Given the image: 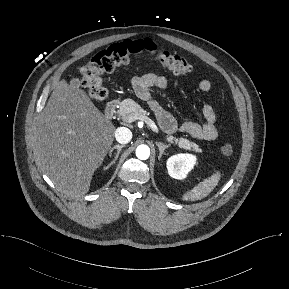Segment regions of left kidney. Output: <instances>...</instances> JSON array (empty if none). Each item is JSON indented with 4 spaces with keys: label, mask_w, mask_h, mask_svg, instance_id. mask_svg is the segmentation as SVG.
Returning <instances> with one entry per match:
<instances>
[{
    "label": "left kidney",
    "mask_w": 289,
    "mask_h": 289,
    "mask_svg": "<svg viewBox=\"0 0 289 289\" xmlns=\"http://www.w3.org/2000/svg\"><path fill=\"white\" fill-rule=\"evenodd\" d=\"M196 164V157L191 154H177L167 160L169 175L175 179H184Z\"/></svg>",
    "instance_id": "left-kidney-1"
}]
</instances>
